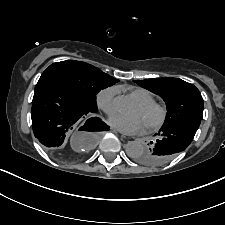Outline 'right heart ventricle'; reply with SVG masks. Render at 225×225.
Segmentation results:
<instances>
[{"instance_id": "e07e8e85", "label": "right heart ventricle", "mask_w": 225, "mask_h": 225, "mask_svg": "<svg viewBox=\"0 0 225 225\" xmlns=\"http://www.w3.org/2000/svg\"><path fill=\"white\" fill-rule=\"evenodd\" d=\"M130 95L139 103H149L154 101V95L147 89L144 88H132L130 90Z\"/></svg>"}]
</instances>
